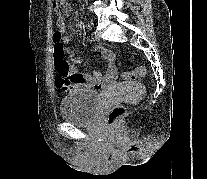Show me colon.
<instances>
[{"label": "colon", "mask_w": 207, "mask_h": 179, "mask_svg": "<svg viewBox=\"0 0 207 179\" xmlns=\"http://www.w3.org/2000/svg\"><path fill=\"white\" fill-rule=\"evenodd\" d=\"M53 7L56 14L62 17L66 14L68 7L67 0H53ZM54 47V65L56 70V83L58 87L69 92L79 81V76L72 75L70 67L64 56L63 35L60 31H55L53 35ZM147 73L145 67H137L134 71H127L123 74L125 80H134L137 77H143ZM126 114V109L123 105H116L109 110L106 115V121L110 126H117Z\"/></svg>", "instance_id": "1"}]
</instances>
